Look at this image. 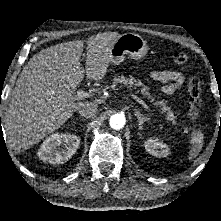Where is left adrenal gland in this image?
<instances>
[{
	"label": "left adrenal gland",
	"mask_w": 221,
	"mask_h": 221,
	"mask_svg": "<svg viewBox=\"0 0 221 221\" xmlns=\"http://www.w3.org/2000/svg\"><path fill=\"white\" fill-rule=\"evenodd\" d=\"M135 116L138 118V125L140 130H142L143 124L147 121V118L144 117L138 109H135Z\"/></svg>",
	"instance_id": "left-adrenal-gland-1"
}]
</instances>
